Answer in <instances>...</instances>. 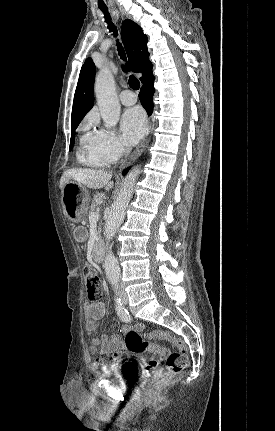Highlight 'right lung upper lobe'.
Segmentation results:
<instances>
[{"label":"right lung upper lobe","mask_w":275,"mask_h":431,"mask_svg":"<svg viewBox=\"0 0 275 431\" xmlns=\"http://www.w3.org/2000/svg\"><path fill=\"white\" fill-rule=\"evenodd\" d=\"M122 41L125 46L130 64L123 67L124 71L132 70L141 72L142 83L146 82L152 74V64L149 60L147 48V36L142 32L141 27L132 20H125L122 24ZM94 79L95 65L91 58L83 64L77 88L75 91L71 128L79 125L83 117L93 107L94 104Z\"/></svg>","instance_id":"1"}]
</instances>
